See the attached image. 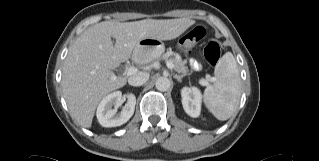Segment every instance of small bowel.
Returning <instances> with one entry per match:
<instances>
[{
	"instance_id": "small-bowel-1",
	"label": "small bowel",
	"mask_w": 319,
	"mask_h": 161,
	"mask_svg": "<svg viewBox=\"0 0 319 161\" xmlns=\"http://www.w3.org/2000/svg\"><path fill=\"white\" fill-rule=\"evenodd\" d=\"M190 66L197 69L200 66V63L196 59H190Z\"/></svg>"
}]
</instances>
